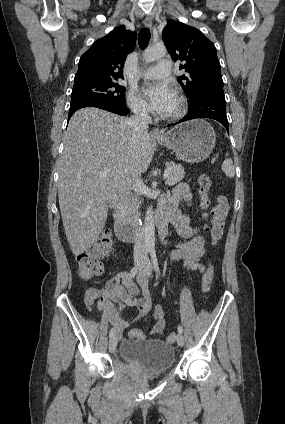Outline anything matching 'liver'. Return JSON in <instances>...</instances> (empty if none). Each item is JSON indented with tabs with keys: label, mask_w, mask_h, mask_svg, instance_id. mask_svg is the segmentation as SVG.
Listing matches in <instances>:
<instances>
[{
	"label": "liver",
	"mask_w": 285,
	"mask_h": 424,
	"mask_svg": "<svg viewBox=\"0 0 285 424\" xmlns=\"http://www.w3.org/2000/svg\"><path fill=\"white\" fill-rule=\"evenodd\" d=\"M154 150V140L147 131L134 143L126 117L94 107L73 114L58 163V198L75 256L98 238L109 205L126 196L135 175L147 171ZM105 170L107 175L101 177Z\"/></svg>",
	"instance_id": "liver-1"
}]
</instances>
